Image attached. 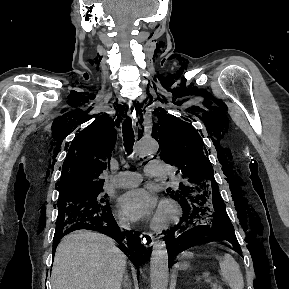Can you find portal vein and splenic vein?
<instances>
[{"instance_id": "portal-vein-and-splenic-vein-1", "label": "portal vein and splenic vein", "mask_w": 289, "mask_h": 289, "mask_svg": "<svg viewBox=\"0 0 289 289\" xmlns=\"http://www.w3.org/2000/svg\"><path fill=\"white\" fill-rule=\"evenodd\" d=\"M204 282H205L206 284H209V283L212 282V278H211V277H205Z\"/></svg>"}]
</instances>
